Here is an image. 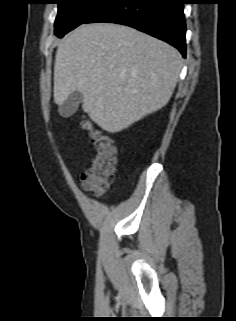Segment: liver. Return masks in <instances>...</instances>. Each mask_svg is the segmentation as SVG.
<instances>
[{
  "mask_svg": "<svg viewBox=\"0 0 236 321\" xmlns=\"http://www.w3.org/2000/svg\"><path fill=\"white\" fill-rule=\"evenodd\" d=\"M181 67L178 50L159 39L119 24H83L56 51L54 102L79 91L83 111L116 133L166 105Z\"/></svg>",
  "mask_w": 236,
  "mask_h": 321,
  "instance_id": "liver-1",
  "label": "liver"
}]
</instances>
